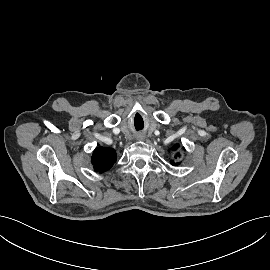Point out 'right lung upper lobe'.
I'll use <instances>...</instances> for the list:
<instances>
[{
  "label": "right lung upper lobe",
  "mask_w": 270,
  "mask_h": 270,
  "mask_svg": "<svg viewBox=\"0 0 270 270\" xmlns=\"http://www.w3.org/2000/svg\"><path fill=\"white\" fill-rule=\"evenodd\" d=\"M116 161V152L113 149L97 147L92 155V164L97 172H105Z\"/></svg>",
  "instance_id": "obj_1"
}]
</instances>
